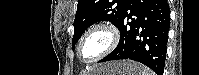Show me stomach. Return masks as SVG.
<instances>
[{"label":"stomach","instance_id":"0dacf381","mask_svg":"<svg viewBox=\"0 0 199 75\" xmlns=\"http://www.w3.org/2000/svg\"><path fill=\"white\" fill-rule=\"evenodd\" d=\"M143 66L132 61H113L94 66L88 75H141Z\"/></svg>","mask_w":199,"mask_h":75}]
</instances>
